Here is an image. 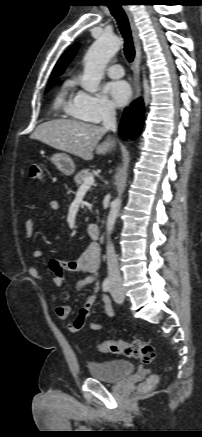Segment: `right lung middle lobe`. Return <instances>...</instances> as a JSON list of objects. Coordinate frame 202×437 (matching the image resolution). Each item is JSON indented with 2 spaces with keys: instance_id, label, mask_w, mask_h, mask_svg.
<instances>
[{
  "instance_id": "right-lung-middle-lobe-1",
  "label": "right lung middle lobe",
  "mask_w": 202,
  "mask_h": 437,
  "mask_svg": "<svg viewBox=\"0 0 202 437\" xmlns=\"http://www.w3.org/2000/svg\"><path fill=\"white\" fill-rule=\"evenodd\" d=\"M54 82H55V81H52V80H51V82H50L49 85H48L47 91H48V90L53 86Z\"/></svg>"
}]
</instances>
